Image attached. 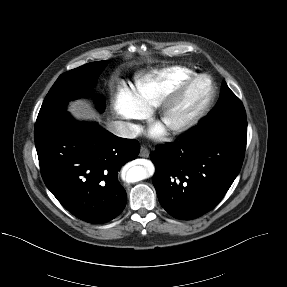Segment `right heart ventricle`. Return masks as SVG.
Instances as JSON below:
<instances>
[{
	"label": "right heart ventricle",
	"instance_id": "1",
	"mask_svg": "<svg viewBox=\"0 0 287 287\" xmlns=\"http://www.w3.org/2000/svg\"><path fill=\"white\" fill-rule=\"evenodd\" d=\"M195 74L186 66H168L136 75L132 92L147 114L158 107L185 79Z\"/></svg>",
	"mask_w": 287,
	"mask_h": 287
}]
</instances>
